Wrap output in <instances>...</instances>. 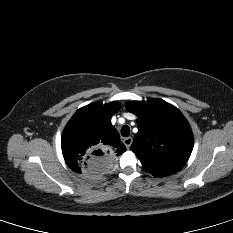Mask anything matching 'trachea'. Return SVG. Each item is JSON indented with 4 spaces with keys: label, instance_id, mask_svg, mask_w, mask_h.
Masks as SVG:
<instances>
[{
    "label": "trachea",
    "instance_id": "3493384b",
    "mask_svg": "<svg viewBox=\"0 0 233 233\" xmlns=\"http://www.w3.org/2000/svg\"><path fill=\"white\" fill-rule=\"evenodd\" d=\"M121 134L123 137H128L130 134V128L127 125L122 126L121 128Z\"/></svg>",
    "mask_w": 233,
    "mask_h": 233
}]
</instances>
